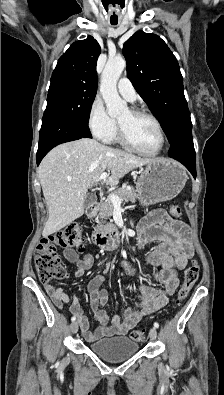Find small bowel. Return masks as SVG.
<instances>
[{
  "instance_id": "obj_1",
  "label": "small bowel",
  "mask_w": 224,
  "mask_h": 395,
  "mask_svg": "<svg viewBox=\"0 0 224 395\" xmlns=\"http://www.w3.org/2000/svg\"><path fill=\"white\" fill-rule=\"evenodd\" d=\"M137 235L139 246L158 242L147 255L146 261L152 266H161V270L155 273L153 278L162 283L164 289H155L141 283L136 289L138 301L135 306L127 308L122 315H115L110 324L103 308L108 295L102 288L105 281L102 275L95 276L87 286L90 306L99 323L96 330H90L89 321L83 314L76 296L70 298L62 289H56L50 282H43L46 292L58 308L70 306L84 338L89 342L113 335H126L143 317L163 308L179 285L180 272L185 269L188 260L194 254L189 227L180 220L171 219L162 209L153 210L139 222ZM63 256L74 264L76 277H82L94 262L91 255L79 257L73 248H64ZM124 265L130 270L129 263L125 262Z\"/></svg>"
}]
</instances>
